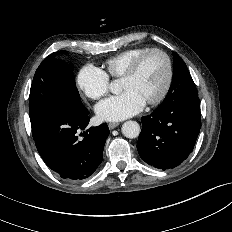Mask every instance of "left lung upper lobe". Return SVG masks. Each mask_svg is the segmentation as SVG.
<instances>
[{"label": "left lung upper lobe", "mask_w": 232, "mask_h": 232, "mask_svg": "<svg viewBox=\"0 0 232 232\" xmlns=\"http://www.w3.org/2000/svg\"><path fill=\"white\" fill-rule=\"evenodd\" d=\"M173 55V82L165 99H175L179 96H198L196 86L186 64L177 53L173 52Z\"/></svg>", "instance_id": "1"}]
</instances>
